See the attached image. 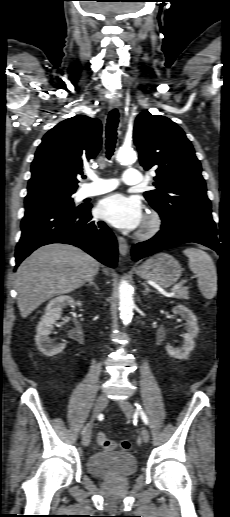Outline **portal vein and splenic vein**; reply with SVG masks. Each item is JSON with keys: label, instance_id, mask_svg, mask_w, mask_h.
<instances>
[{"label": "portal vein and splenic vein", "instance_id": "obj_1", "mask_svg": "<svg viewBox=\"0 0 230 517\" xmlns=\"http://www.w3.org/2000/svg\"><path fill=\"white\" fill-rule=\"evenodd\" d=\"M182 284H183V281H180L178 284H176L173 289H172V293H167L165 294L166 296H170L171 294H173L174 292L178 291L181 287H182Z\"/></svg>", "mask_w": 230, "mask_h": 517}]
</instances>
